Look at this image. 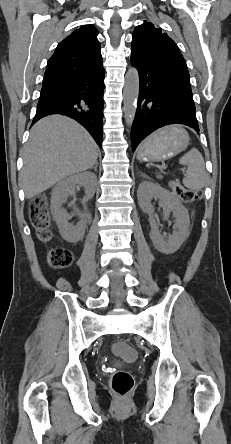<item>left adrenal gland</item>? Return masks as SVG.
Masks as SVG:
<instances>
[{
	"label": "left adrenal gland",
	"instance_id": "1",
	"mask_svg": "<svg viewBox=\"0 0 231 444\" xmlns=\"http://www.w3.org/2000/svg\"><path fill=\"white\" fill-rule=\"evenodd\" d=\"M140 175L146 178V175H145V174H143V173H140Z\"/></svg>",
	"mask_w": 231,
	"mask_h": 444
}]
</instances>
